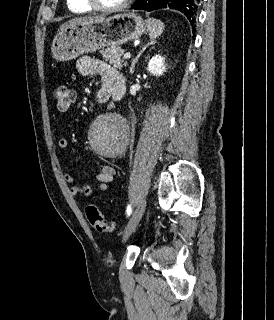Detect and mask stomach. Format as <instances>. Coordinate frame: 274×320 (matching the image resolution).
Returning <instances> with one entry per match:
<instances>
[{"label":"stomach","mask_w":274,"mask_h":320,"mask_svg":"<svg viewBox=\"0 0 274 320\" xmlns=\"http://www.w3.org/2000/svg\"><path fill=\"white\" fill-rule=\"evenodd\" d=\"M147 24L138 14H114L103 20H91L67 26L56 34L51 52L54 60L69 62L82 54H93L101 48H117L146 34Z\"/></svg>","instance_id":"1"}]
</instances>
